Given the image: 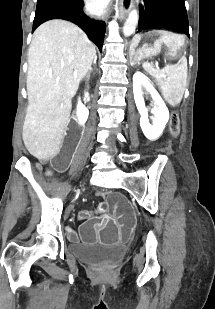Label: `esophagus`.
I'll use <instances>...</instances> for the list:
<instances>
[{
  "label": "esophagus",
  "mask_w": 215,
  "mask_h": 309,
  "mask_svg": "<svg viewBox=\"0 0 215 309\" xmlns=\"http://www.w3.org/2000/svg\"><path fill=\"white\" fill-rule=\"evenodd\" d=\"M133 0H120L119 8H120V17L123 19L132 9Z\"/></svg>",
  "instance_id": "34e87169"
}]
</instances>
